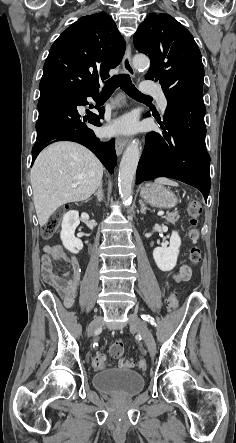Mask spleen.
<instances>
[{"mask_svg":"<svg viewBox=\"0 0 236 443\" xmlns=\"http://www.w3.org/2000/svg\"><path fill=\"white\" fill-rule=\"evenodd\" d=\"M155 183L160 184V185H169V186H178V183L170 180L169 178H165V177H161V178H157L155 180Z\"/></svg>","mask_w":236,"mask_h":443,"instance_id":"obj_1","label":"spleen"}]
</instances>
